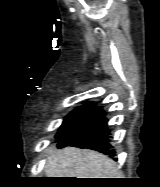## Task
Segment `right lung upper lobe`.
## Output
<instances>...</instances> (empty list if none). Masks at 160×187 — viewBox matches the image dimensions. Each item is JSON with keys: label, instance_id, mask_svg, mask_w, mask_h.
<instances>
[{"label": "right lung upper lobe", "instance_id": "1", "mask_svg": "<svg viewBox=\"0 0 160 187\" xmlns=\"http://www.w3.org/2000/svg\"><path fill=\"white\" fill-rule=\"evenodd\" d=\"M86 105H88V106H94V105H95V103L90 102V103H88V104H86Z\"/></svg>", "mask_w": 160, "mask_h": 187}]
</instances>
